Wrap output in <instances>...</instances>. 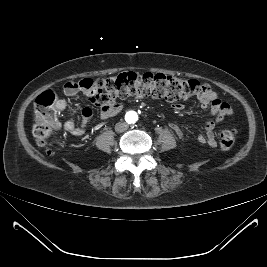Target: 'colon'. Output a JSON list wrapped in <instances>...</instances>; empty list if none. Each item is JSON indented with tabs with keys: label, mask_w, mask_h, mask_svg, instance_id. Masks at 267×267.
Listing matches in <instances>:
<instances>
[{
	"label": "colon",
	"mask_w": 267,
	"mask_h": 267,
	"mask_svg": "<svg viewBox=\"0 0 267 267\" xmlns=\"http://www.w3.org/2000/svg\"><path fill=\"white\" fill-rule=\"evenodd\" d=\"M84 89L90 99L99 104L124 99L131 96L165 99L177 102L204 93L207 86L194 79H184L161 73L123 72L116 76L86 78L76 82ZM56 95L51 91L41 94L34 106V124L32 132L36 142L44 146L52 131L59 127L55 110ZM220 146L229 150L235 143L234 132L224 129L220 132Z\"/></svg>",
	"instance_id": "colon-1"
}]
</instances>
